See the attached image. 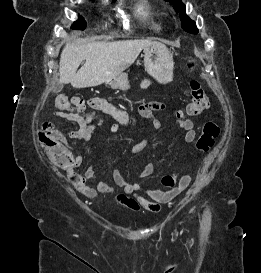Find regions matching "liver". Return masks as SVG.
Here are the masks:
<instances>
[{
    "label": "liver",
    "mask_w": 261,
    "mask_h": 273,
    "mask_svg": "<svg viewBox=\"0 0 261 273\" xmlns=\"http://www.w3.org/2000/svg\"><path fill=\"white\" fill-rule=\"evenodd\" d=\"M151 43L143 39L82 45L67 43L60 56L59 81L71 83L74 88L101 85L132 65L142 49Z\"/></svg>",
    "instance_id": "6515ba94"
}]
</instances>
